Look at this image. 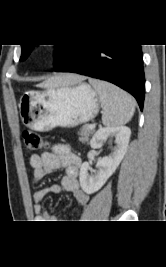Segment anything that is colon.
<instances>
[{"instance_id":"obj_1","label":"colon","mask_w":166,"mask_h":267,"mask_svg":"<svg viewBox=\"0 0 166 267\" xmlns=\"http://www.w3.org/2000/svg\"><path fill=\"white\" fill-rule=\"evenodd\" d=\"M22 138L24 145L29 152L37 151L49 146L48 141H46L39 133L32 130H24Z\"/></svg>"}]
</instances>
